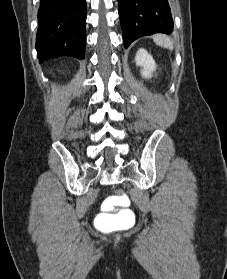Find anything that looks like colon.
Returning <instances> with one entry per match:
<instances>
[{"label": "colon", "mask_w": 227, "mask_h": 279, "mask_svg": "<svg viewBox=\"0 0 227 279\" xmlns=\"http://www.w3.org/2000/svg\"><path fill=\"white\" fill-rule=\"evenodd\" d=\"M111 200L113 203L119 205L117 209L113 211L103 212L99 217L100 227L103 230H111L121 227L128 219L129 209L123 207L126 205L130 197L127 193L124 192H115L111 196Z\"/></svg>", "instance_id": "5ec220e1"}]
</instances>
